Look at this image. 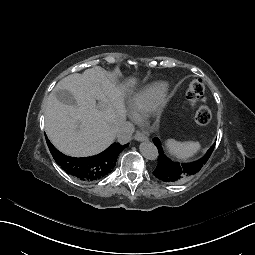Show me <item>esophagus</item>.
Returning <instances> with one entry per match:
<instances>
[{"mask_svg":"<svg viewBox=\"0 0 255 255\" xmlns=\"http://www.w3.org/2000/svg\"><path fill=\"white\" fill-rule=\"evenodd\" d=\"M135 140L137 141H146L148 140L147 136L141 133L140 131H136L134 135Z\"/></svg>","mask_w":255,"mask_h":255,"instance_id":"esophagus-1","label":"esophagus"}]
</instances>
